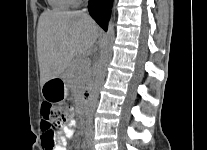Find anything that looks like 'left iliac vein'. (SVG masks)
I'll return each mask as SVG.
<instances>
[{
    "label": "left iliac vein",
    "instance_id": "1",
    "mask_svg": "<svg viewBox=\"0 0 207 150\" xmlns=\"http://www.w3.org/2000/svg\"><path fill=\"white\" fill-rule=\"evenodd\" d=\"M90 150H94L93 144H92V139L90 140Z\"/></svg>",
    "mask_w": 207,
    "mask_h": 150
}]
</instances>
